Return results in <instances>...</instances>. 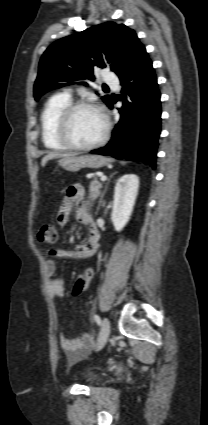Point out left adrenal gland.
Returning a JSON list of instances; mask_svg holds the SVG:
<instances>
[{"label":"left adrenal gland","mask_w":208,"mask_h":425,"mask_svg":"<svg viewBox=\"0 0 208 425\" xmlns=\"http://www.w3.org/2000/svg\"><path fill=\"white\" fill-rule=\"evenodd\" d=\"M116 174V172L115 173H113L111 176H110V179L114 176ZM110 179L108 180V182H107V184H106V186H105V189H104V191H103V193H102V195H101V198H100V200H99V204H98V207H97V212L100 210V207H101V204H102V199H103V196H104V194H105V192H106V190H107V187H108V184H109V182H110Z\"/></svg>","instance_id":"left-adrenal-gland-1"}]
</instances>
